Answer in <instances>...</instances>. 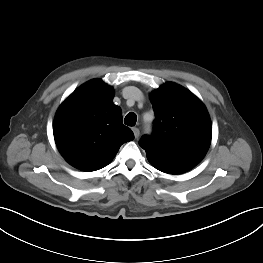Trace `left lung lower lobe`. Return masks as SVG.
Here are the masks:
<instances>
[{
    "mask_svg": "<svg viewBox=\"0 0 263 263\" xmlns=\"http://www.w3.org/2000/svg\"><path fill=\"white\" fill-rule=\"evenodd\" d=\"M147 158L156 169L169 174L183 173L195 166L191 164L169 162L149 155H147Z\"/></svg>",
    "mask_w": 263,
    "mask_h": 263,
    "instance_id": "1",
    "label": "left lung lower lobe"
}]
</instances>
